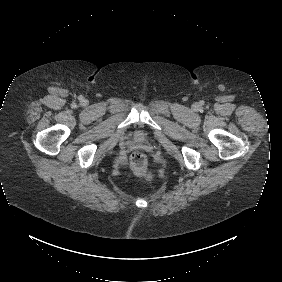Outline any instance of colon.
Returning a JSON list of instances; mask_svg holds the SVG:
<instances>
[{
  "instance_id": "1",
  "label": "colon",
  "mask_w": 282,
  "mask_h": 282,
  "mask_svg": "<svg viewBox=\"0 0 282 282\" xmlns=\"http://www.w3.org/2000/svg\"><path fill=\"white\" fill-rule=\"evenodd\" d=\"M132 168L139 172V175L143 178L148 179L150 172L147 170L150 166V158L144 152H137L131 158Z\"/></svg>"
}]
</instances>
